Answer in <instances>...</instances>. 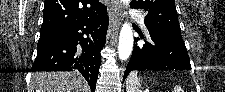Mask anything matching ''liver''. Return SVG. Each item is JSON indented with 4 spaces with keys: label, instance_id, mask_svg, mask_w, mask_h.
I'll return each mask as SVG.
<instances>
[{
    "label": "liver",
    "instance_id": "1",
    "mask_svg": "<svg viewBox=\"0 0 225 92\" xmlns=\"http://www.w3.org/2000/svg\"><path fill=\"white\" fill-rule=\"evenodd\" d=\"M29 92H89V86L78 72H35Z\"/></svg>",
    "mask_w": 225,
    "mask_h": 92
}]
</instances>
